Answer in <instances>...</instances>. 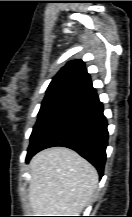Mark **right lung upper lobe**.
Wrapping results in <instances>:
<instances>
[{
	"label": "right lung upper lobe",
	"mask_w": 132,
	"mask_h": 217,
	"mask_svg": "<svg viewBox=\"0 0 132 217\" xmlns=\"http://www.w3.org/2000/svg\"><path fill=\"white\" fill-rule=\"evenodd\" d=\"M54 92L72 94L77 98L95 92L82 60L70 61L58 72L47 88V93Z\"/></svg>",
	"instance_id": "obj_1"
}]
</instances>
